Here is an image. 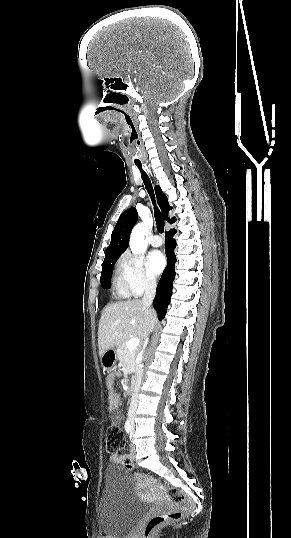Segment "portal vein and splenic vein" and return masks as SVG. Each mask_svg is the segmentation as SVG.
<instances>
[{
  "label": "portal vein and splenic vein",
  "instance_id": "1",
  "mask_svg": "<svg viewBox=\"0 0 291 538\" xmlns=\"http://www.w3.org/2000/svg\"><path fill=\"white\" fill-rule=\"evenodd\" d=\"M140 343V339L135 337V338H131L127 343H126V346L127 348L129 349H135Z\"/></svg>",
  "mask_w": 291,
  "mask_h": 538
}]
</instances>
